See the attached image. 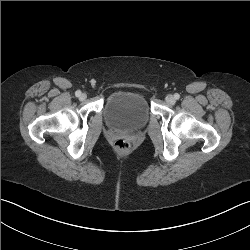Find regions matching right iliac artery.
I'll use <instances>...</instances> for the list:
<instances>
[{"mask_svg":"<svg viewBox=\"0 0 250 250\" xmlns=\"http://www.w3.org/2000/svg\"><path fill=\"white\" fill-rule=\"evenodd\" d=\"M75 95H76V97H80L81 91H80V90H77V91L75 92Z\"/></svg>","mask_w":250,"mask_h":250,"instance_id":"obj_1","label":"right iliac artery"}]
</instances>
